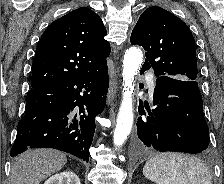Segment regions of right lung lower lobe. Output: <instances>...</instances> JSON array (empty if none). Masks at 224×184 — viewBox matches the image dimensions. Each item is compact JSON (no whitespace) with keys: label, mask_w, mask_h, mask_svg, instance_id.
I'll return each instance as SVG.
<instances>
[{"label":"right lung lower lobe","mask_w":224,"mask_h":184,"mask_svg":"<svg viewBox=\"0 0 224 184\" xmlns=\"http://www.w3.org/2000/svg\"><path fill=\"white\" fill-rule=\"evenodd\" d=\"M107 65L92 74L32 87L10 156L54 148L89 161L95 117L106 104Z\"/></svg>","instance_id":"98d812e1"}]
</instances>
